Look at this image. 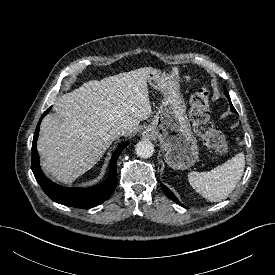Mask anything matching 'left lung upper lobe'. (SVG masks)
<instances>
[{
	"label": "left lung upper lobe",
	"mask_w": 275,
	"mask_h": 275,
	"mask_svg": "<svg viewBox=\"0 0 275 275\" xmlns=\"http://www.w3.org/2000/svg\"><path fill=\"white\" fill-rule=\"evenodd\" d=\"M225 95L228 93V91L226 90V88L224 89Z\"/></svg>",
	"instance_id": "1"
}]
</instances>
